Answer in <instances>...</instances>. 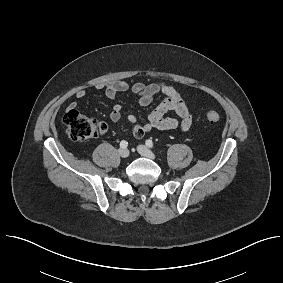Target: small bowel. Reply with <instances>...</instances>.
<instances>
[{
  "label": "small bowel",
  "instance_id": "obj_1",
  "mask_svg": "<svg viewBox=\"0 0 283 283\" xmlns=\"http://www.w3.org/2000/svg\"><path fill=\"white\" fill-rule=\"evenodd\" d=\"M98 89H102L108 98H115L118 93L125 92L129 89L138 96L139 104L143 107L152 104L156 96H163L155 108L149 113L147 121L138 123L135 115H128L127 121L132 127L134 137L141 138L153 129L170 130L179 129L183 132L190 129L192 125V116L183 101L180 92L171 84L156 82L145 84L137 82L131 87L126 81H113L106 84H100ZM86 96V91L79 89L75 92V97L82 99ZM69 109L76 108L75 103H70ZM169 112H174L177 117L168 116ZM123 116V108L116 104L110 112V120L118 122Z\"/></svg>",
  "mask_w": 283,
  "mask_h": 283
}]
</instances>
